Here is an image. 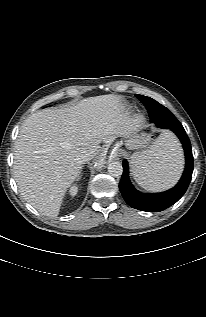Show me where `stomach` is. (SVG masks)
<instances>
[{
	"label": "stomach",
	"instance_id": "0dacf381",
	"mask_svg": "<svg viewBox=\"0 0 206 317\" xmlns=\"http://www.w3.org/2000/svg\"><path fill=\"white\" fill-rule=\"evenodd\" d=\"M149 137L142 132H132L126 137L125 145L129 149H138L146 147Z\"/></svg>",
	"mask_w": 206,
	"mask_h": 317
}]
</instances>
